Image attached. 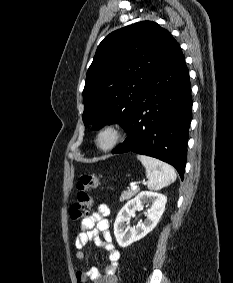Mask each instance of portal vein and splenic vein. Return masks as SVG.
I'll return each mask as SVG.
<instances>
[{"mask_svg":"<svg viewBox=\"0 0 233 283\" xmlns=\"http://www.w3.org/2000/svg\"><path fill=\"white\" fill-rule=\"evenodd\" d=\"M131 189H132V190H137V189H138V186H137L136 184H133V185L131 186Z\"/></svg>","mask_w":233,"mask_h":283,"instance_id":"1","label":"portal vein and splenic vein"}]
</instances>
